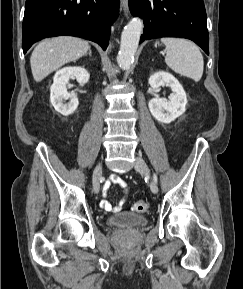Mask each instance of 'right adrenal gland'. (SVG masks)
I'll list each match as a JSON object with an SVG mask.
<instances>
[{
	"instance_id": "1",
	"label": "right adrenal gland",
	"mask_w": 243,
	"mask_h": 289,
	"mask_svg": "<svg viewBox=\"0 0 243 289\" xmlns=\"http://www.w3.org/2000/svg\"><path fill=\"white\" fill-rule=\"evenodd\" d=\"M88 55H89L90 57H92V51H91V49H89Z\"/></svg>"
}]
</instances>
